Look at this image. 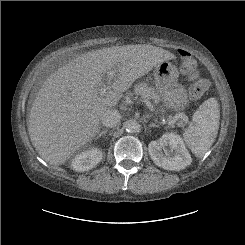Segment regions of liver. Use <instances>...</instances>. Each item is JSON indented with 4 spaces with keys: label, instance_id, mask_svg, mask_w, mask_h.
I'll use <instances>...</instances> for the list:
<instances>
[{
    "label": "liver",
    "instance_id": "obj_1",
    "mask_svg": "<svg viewBox=\"0 0 245 245\" xmlns=\"http://www.w3.org/2000/svg\"><path fill=\"white\" fill-rule=\"evenodd\" d=\"M174 58L160 47L136 44L90 51L69 61L36 94L28 115L32 145L49 164H64L93 140L104 113L117 105L135 80ZM109 72L114 77L101 95Z\"/></svg>",
    "mask_w": 245,
    "mask_h": 245
}]
</instances>
